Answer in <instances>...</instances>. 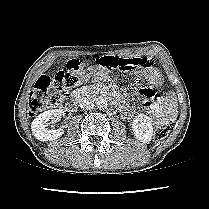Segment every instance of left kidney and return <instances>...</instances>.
<instances>
[{"instance_id":"left-kidney-1","label":"left kidney","mask_w":209,"mask_h":209,"mask_svg":"<svg viewBox=\"0 0 209 209\" xmlns=\"http://www.w3.org/2000/svg\"><path fill=\"white\" fill-rule=\"evenodd\" d=\"M132 131L141 142H150L153 136L152 119L144 114L137 115L132 121Z\"/></svg>"}]
</instances>
